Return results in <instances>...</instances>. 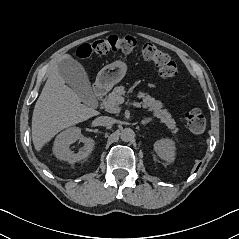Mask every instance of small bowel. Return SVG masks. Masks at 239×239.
I'll list each match as a JSON object with an SVG mask.
<instances>
[{
	"label": "small bowel",
	"instance_id": "c3829d8e",
	"mask_svg": "<svg viewBox=\"0 0 239 239\" xmlns=\"http://www.w3.org/2000/svg\"><path fill=\"white\" fill-rule=\"evenodd\" d=\"M150 87H154V84H151Z\"/></svg>",
	"mask_w": 239,
	"mask_h": 239
}]
</instances>
